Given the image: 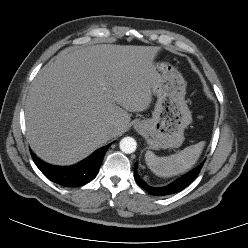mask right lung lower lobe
Segmentation results:
<instances>
[{"label": "right lung lower lobe", "mask_w": 248, "mask_h": 248, "mask_svg": "<svg viewBox=\"0 0 248 248\" xmlns=\"http://www.w3.org/2000/svg\"><path fill=\"white\" fill-rule=\"evenodd\" d=\"M109 146L110 144L96 150L80 163L69 167L53 166L43 162L32 152L31 155L37 167L48 179L62 186L77 187L87 184L96 177Z\"/></svg>", "instance_id": "obj_1"}]
</instances>
